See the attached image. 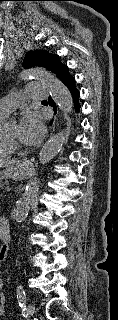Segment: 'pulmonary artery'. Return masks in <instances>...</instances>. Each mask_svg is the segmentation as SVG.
Returning <instances> with one entry per match:
<instances>
[{"label": "pulmonary artery", "instance_id": "obj_1", "mask_svg": "<svg viewBox=\"0 0 118 320\" xmlns=\"http://www.w3.org/2000/svg\"><path fill=\"white\" fill-rule=\"evenodd\" d=\"M47 97L45 86L40 83H31L25 86L23 95L16 92L0 100V113L8 116L17 105L25 100L42 101Z\"/></svg>", "mask_w": 118, "mask_h": 320}]
</instances>
